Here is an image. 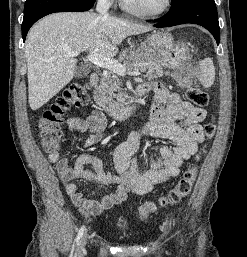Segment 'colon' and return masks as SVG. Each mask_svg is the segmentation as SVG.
Returning <instances> with one entry per match:
<instances>
[{
  "label": "colon",
  "mask_w": 247,
  "mask_h": 257,
  "mask_svg": "<svg viewBox=\"0 0 247 257\" xmlns=\"http://www.w3.org/2000/svg\"><path fill=\"white\" fill-rule=\"evenodd\" d=\"M187 99L196 106L203 107L208 104V94L198 88L190 87L186 90ZM89 102V87L85 83H73L69 85L63 93L56 99L51 107L45 110L39 120L38 130L40 143L46 152L59 150L61 146L62 123L65 115L72 108H80ZM205 134L211 139L216 131L214 122H209L204 127ZM204 149L198 154L200 158ZM197 176V166L187 169L175 187L156 201L144 202L138 210V218L146 221L158 207H164L180 202L191 191Z\"/></svg>",
  "instance_id": "5ec220e1"
}]
</instances>
